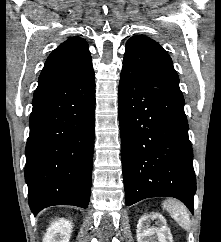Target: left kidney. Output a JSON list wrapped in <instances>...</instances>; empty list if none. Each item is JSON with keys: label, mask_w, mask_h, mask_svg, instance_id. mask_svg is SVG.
I'll return each instance as SVG.
<instances>
[{"label": "left kidney", "mask_w": 221, "mask_h": 242, "mask_svg": "<svg viewBox=\"0 0 221 242\" xmlns=\"http://www.w3.org/2000/svg\"><path fill=\"white\" fill-rule=\"evenodd\" d=\"M150 220L156 223L157 227H150ZM173 242L170 229L167 227L166 219L159 213L143 215L137 225V242Z\"/></svg>", "instance_id": "5707ae66"}]
</instances>
